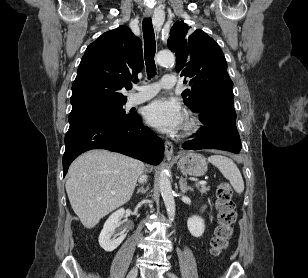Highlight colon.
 Instances as JSON below:
<instances>
[{"instance_id":"obj_1","label":"colon","mask_w":308,"mask_h":278,"mask_svg":"<svg viewBox=\"0 0 308 278\" xmlns=\"http://www.w3.org/2000/svg\"><path fill=\"white\" fill-rule=\"evenodd\" d=\"M216 210L218 224L211 240V253L219 256L228 247L236 220L233 191L228 183H221L216 189Z\"/></svg>"}]
</instances>
